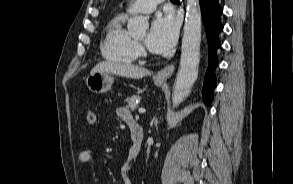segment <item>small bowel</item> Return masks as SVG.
<instances>
[{
    "mask_svg": "<svg viewBox=\"0 0 293 184\" xmlns=\"http://www.w3.org/2000/svg\"><path fill=\"white\" fill-rule=\"evenodd\" d=\"M116 113L119 118H121L124 122L128 123L130 120H134L131 112L125 107H119L116 109ZM139 152H137L133 146L131 145L128 150V157L126 162L121 168V181L122 184H133L131 178L128 175L131 164L134 159L137 157ZM92 160V152L90 149H84L78 154V161L81 164H88Z\"/></svg>",
    "mask_w": 293,
    "mask_h": 184,
    "instance_id": "obj_1",
    "label": "small bowel"
}]
</instances>
